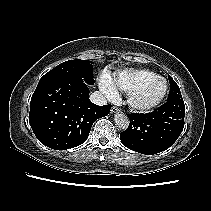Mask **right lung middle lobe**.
Listing matches in <instances>:
<instances>
[{
  "mask_svg": "<svg viewBox=\"0 0 211 211\" xmlns=\"http://www.w3.org/2000/svg\"><path fill=\"white\" fill-rule=\"evenodd\" d=\"M92 67V62L89 60H69L47 72L38 84L69 76H79L92 85L94 84Z\"/></svg>",
  "mask_w": 211,
  "mask_h": 211,
  "instance_id": "obj_1",
  "label": "right lung middle lobe"
}]
</instances>
